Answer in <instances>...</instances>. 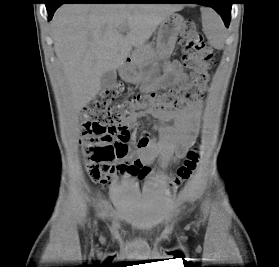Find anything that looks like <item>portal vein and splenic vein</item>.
I'll return each mask as SVG.
<instances>
[{
	"mask_svg": "<svg viewBox=\"0 0 279 267\" xmlns=\"http://www.w3.org/2000/svg\"><path fill=\"white\" fill-rule=\"evenodd\" d=\"M121 32H125V29H120Z\"/></svg>",
	"mask_w": 279,
	"mask_h": 267,
	"instance_id": "18ae733b",
	"label": "portal vein and splenic vein"
}]
</instances>
